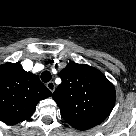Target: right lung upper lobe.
I'll use <instances>...</instances> for the list:
<instances>
[{
  "label": "right lung upper lobe",
  "mask_w": 136,
  "mask_h": 136,
  "mask_svg": "<svg viewBox=\"0 0 136 136\" xmlns=\"http://www.w3.org/2000/svg\"><path fill=\"white\" fill-rule=\"evenodd\" d=\"M52 93L38 76L23 70L20 63L0 65V120L17 124L33 115L37 103Z\"/></svg>",
  "instance_id": "cb5924a9"
}]
</instances>
